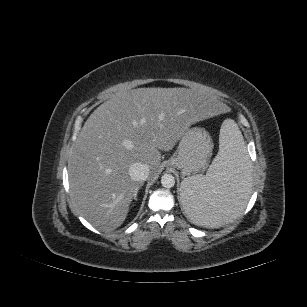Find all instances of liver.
<instances>
[{
  "label": "liver",
  "instance_id": "6515ba94",
  "mask_svg": "<svg viewBox=\"0 0 307 307\" xmlns=\"http://www.w3.org/2000/svg\"><path fill=\"white\" fill-rule=\"evenodd\" d=\"M220 97L186 88L118 92L89 116L69 160L70 194L78 212L110 232L125 221L142 185L129 175L135 162L157 175L161 152L170 151L191 124L226 112Z\"/></svg>",
  "mask_w": 307,
  "mask_h": 307
}]
</instances>
